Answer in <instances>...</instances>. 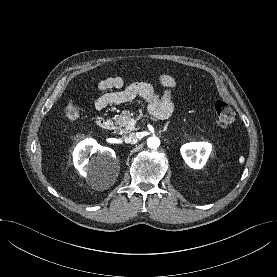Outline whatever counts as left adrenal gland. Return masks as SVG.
I'll list each match as a JSON object with an SVG mask.
<instances>
[{
	"instance_id": "a2214340",
	"label": "left adrenal gland",
	"mask_w": 277,
	"mask_h": 277,
	"mask_svg": "<svg viewBox=\"0 0 277 277\" xmlns=\"http://www.w3.org/2000/svg\"><path fill=\"white\" fill-rule=\"evenodd\" d=\"M167 127H168V123L165 125L163 132L167 130Z\"/></svg>"
}]
</instances>
